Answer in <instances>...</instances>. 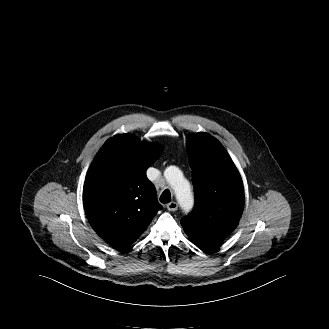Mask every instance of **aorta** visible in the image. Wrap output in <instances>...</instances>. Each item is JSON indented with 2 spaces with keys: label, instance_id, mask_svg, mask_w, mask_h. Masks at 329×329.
<instances>
[{
  "label": "aorta",
  "instance_id": "1",
  "mask_svg": "<svg viewBox=\"0 0 329 329\" xmlns=\"http://www.w3.org/2000/svg\"><path fill=\"white\" fill-rule=\"evenodd\" d=\"M164 176L173 189L180 206L188 210L193 205V195L189 182L183 177L181 170L176 166H169L164 172Z\"/></svg>",
  "mask_w": 329,
  "mask_h": 329
}]
</instances>
